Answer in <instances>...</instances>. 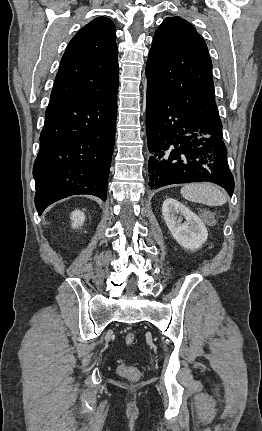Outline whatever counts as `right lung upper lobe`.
<instances>
[{
    "mask_svg": "<svg viewBox=\"0 0 262 431\" xmlns=\"http://www.w3.org/2000/svg\"><path fill=\"white\" fill-rule=\"evenodd\" d=\"M116 29L99 17L70 41L55 78L50 101L103 100L118 90Z\"/></svg>",
    "mask_w": 262,
    "mask_h": 431,
    "instance_id": "1",
    "label": "right lung upper lobe"
}]
</instances>
